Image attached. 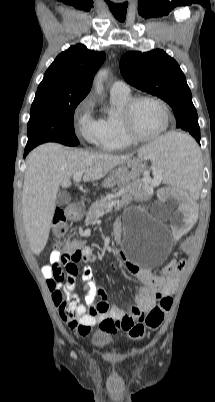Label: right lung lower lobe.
<instances>
[{
	"label": "right lung lower lobe",
	"mask_w": 215,
	"mask_h": 402,
	"mask_svg": "<svg viewBox=\"0 0 215 402\" xmlns=\"http://www.w3.org/2000/svg\"><path fill=\"white\" fill-rule=\"evenodd\" d=\"M30 148H25V152H24V157L28 154V152L30 151Z\"/></svg>",
	"instance_id": "right-lung-lower-lobe-1"
}]
</instances>
